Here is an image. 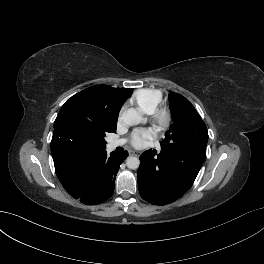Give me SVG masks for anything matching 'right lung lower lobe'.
I'll return each mask as SVG.
<instances>
[{"mask_svg": "<svg viewBox=\"0 0 264 264\" xmlns=\"http://www.w3.org/2000/svg\"><path fill=\"white\" fill-rule=\"evenodd\" d=\"M128 156L105 150L90 154L79 160L64 176L58 177L66 191L84 204H100L110 198L120 164Z\"/></svg>", "mask_w": 264, "mask_h": 264, "instance_id": "right-lung-lower-lobe-1", "label": "right lung lower lobe"}]
</instances>
